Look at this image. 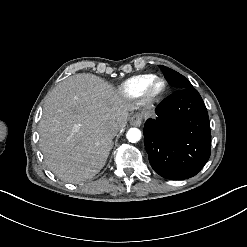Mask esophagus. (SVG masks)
Here are the masks:
<instances>
[{
  "label": "esophagus",
  "instance_id": "esophagus-1",
  "mask_svg": "<svg viewBox=\"0 0 247 247\" xmlns=\"http://www.w3.org/2000/svg\"><path fill=\"white\" fill-rule=\"evenodd\" d=\"M142 123V116L139 113L134 114L130 118V124L139 127Z\"/></svg>",
  "mask_w": 247,
  "mask_h": 247
}]
</instances>
